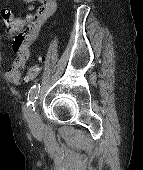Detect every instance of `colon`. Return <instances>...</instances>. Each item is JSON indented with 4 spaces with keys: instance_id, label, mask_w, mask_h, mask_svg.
Instances as JSON below:
<instances>
[{
    "instance_id": "1",
    "label": "colon",
    "mask_w": 143,
    "mask_h": 170,
    "mask_svg": "<svg viewBox=\"0 0 143 170\" xmlns=\"http://www.w3.org/2000/svg\"><path fill=\"white\" fill-rule=\"evenodd\" d=\"M4 17L8 20L10 26H17V23L11 21L10 15L8 13H5ZM40 70L41 68L39 64L32 65L27 72L26 80L28 82L33 81L40 73Z\"/></svg>"
}]
</instances>
